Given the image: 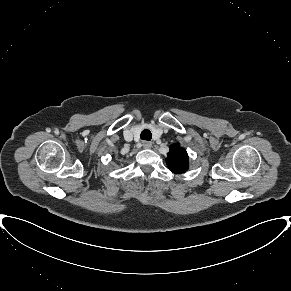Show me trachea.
I'll return each mask as SVG.
<instances>
[{
  "label": "trachea",
  "mask_w": 291,
  "mask_h": 291,
  "mask_svg": "<svg viewBox=\"0 0 291 291\" xmlns=\"http://www.w3.org/2000/svg\"><path fill=\"white\" fill-rule=\"evenodd\" d=\"M140 138L142 140L150 141L152 138V134H151L150 130H148V129L143 130L141 132Z\"/></svg>",
  "instance_id": "1"
}]
</instances>
